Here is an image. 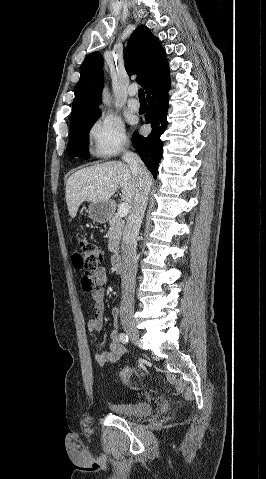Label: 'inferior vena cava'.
I'll use <instances>...</instances> for the list:
<instances>
[{
    "mask_svg": "<svg viewBox=\"0 0 266 479\" xmlns=\"http://www.w3.org/2000/svg\"><path fill=\"white\" fill-rule=\"evenodd\" d=\"M123 160L129 165L136 181L135 201L128 216L121 245L122 298L120 318L121 320H126L132 319L134 314V291L138 263V256L136 254L137 237L147 206L151 177L140 157L135 153L125 151Z\"/></svg>",
    "mask_w": 266,
    "mask_h": 479,
    "instance_id": "obj_1",
    "label": "inferior vena cava"
}]
</instances>
